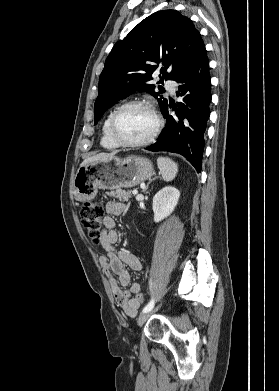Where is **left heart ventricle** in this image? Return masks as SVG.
<instances>
[{
    "instance_id": "b2bd125f",
    "label": "left heart ventricle",
    "mask_w": 279,
    "mask_h": 391,
    "mask_svg": "<svg viewBox=\"0 0 279 391\" xmlns=\"http://www.w3.org/2000/svg\"><path fill=\"white\" fill-rule=\"evenodd\" d=\"M155 127V119L144 107H129L118 116L116 132L125 141H141L146 139Z\"/></svg>"
}]
</instances>
